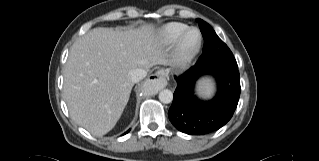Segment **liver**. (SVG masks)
I'll use <instances>...</instances> for the list:
<instances>
[{"instance_id": "obj_1", "label": "liver", "mask_w": 319, "mask_h": 161, "mask_svg": "<svg viewBox=\"0 0 319 161\" xmlns=\"http://www.w3.org/2000/svg\"><path fill=\"white\" fill-rule=\"evenodd\" d=\"M155 26L120 30L95 28L73 44L64 70L63 94L71 118L95 136L114 128L134 83L133 69L164 64Z\"/></svg>"}]
</instances>
